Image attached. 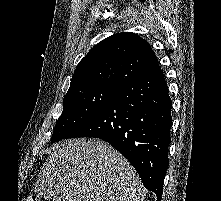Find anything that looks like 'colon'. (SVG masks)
I'll return each instance as SVG.
<instances>
[{
    "instance_id": "colon-1",
    "label": "colon",
    "mask_w": 221,
    "mask_h": 201,
    "mask_svg": "<svg viewBox=\"0 0 221 201\" xmlns=\"http://www.w3.org/2000/svg\"><path fill=\"white\" fill-rule=\"evenodd\" d=\"M23 201H38V200L33 196H27L23 199Z\"/></svg>"
}]
</instances>
